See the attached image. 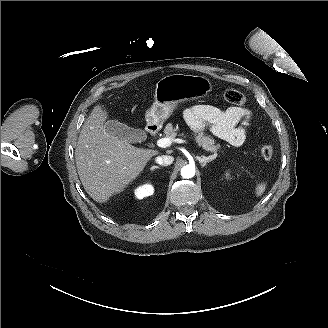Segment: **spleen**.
<instances>
[{"instance_id": "spleen-1", "label": "spleen", "mask_w": 328, "mask_h": 328, "mask_svg": "<svg viewBox=\"0 0 328 328\" xmlns=\"http://www.w3.org/2000/svg\"><path fill=\"white\" fill-rule=\"evenodd\" d=\"M265 187H266V184H264V183L258 184L256 187V195L261 196L265 191Z\"/></svg>"}]
</instances>
